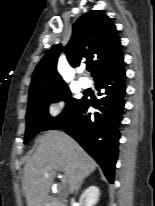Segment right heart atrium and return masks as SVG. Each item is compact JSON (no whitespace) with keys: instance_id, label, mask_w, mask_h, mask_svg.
Instances as JSON below:
<instances>
[{"instance_id":"d8ad5b80","label":"right heart atrium","mask_w":155,"mask_h":206,"mask_svg":"<svg viewBox=\"0 0 155 206\" xmlns=\"http://www.w3.org/2000/svg\"><path fill=\"white\" fill-rule=\"evenodd\" d=\"M64 108V101L59 100L57 103H53L49 107V114L56 116Z\"/></svg>"}]
</instances>
